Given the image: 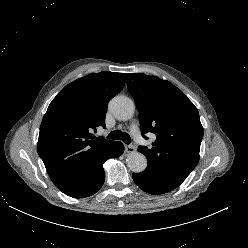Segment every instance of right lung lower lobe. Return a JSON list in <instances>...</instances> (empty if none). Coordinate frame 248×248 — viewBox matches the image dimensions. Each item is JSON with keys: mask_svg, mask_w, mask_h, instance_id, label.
Segmentation results:
<instances>
[{"mask_svg": "<svg viewBox=\"0 0 248 248\" xmlns=\"http://www.w3.org/2000/svg\"><path fill=\"white\" fill-rule=\"evenodd\" d=\"M124 152V146L121 142L116 141L112 144L106 159L94 170V172L86 176L77 185L63 190L62 192L73 198H85L96 193L103 185L105 180V172L103 163L109 158H117Z\"/></svg>", "mask_w": 248, "mask_h": 248, "instance_id": "1", "label": "right lung lower lobe"}]
</instances>
